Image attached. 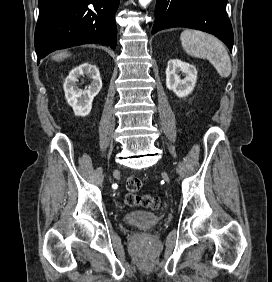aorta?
Returning <instances> with one entry per match:
<instances>
[{
    "label": "aorta",
    "mask_w": 272,
    "mask_h": 282,
    "mask_svg": "<svg viewBox=\"0 0 272 282\" xmlns=\"http://www.w3.org/2000/svg\"><path fill=\"white\" fill-rule=\"evenodd\" d=\"M150 2L151 0H139L140 5L143 7L147 6Z\"/></svg>",
    "instance_id": "obj_1"
}]
</instances>
